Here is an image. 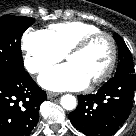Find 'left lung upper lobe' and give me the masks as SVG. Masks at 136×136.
<instances>
[{
	"mask_svg": "<svg viewBox=\"0 0 136 136\" xmlns=\"http://www.w3.org/2000/svg\"><path fill=\"white\" fill-rule=\"evenodd\" d=\"M113 36L118 45V51H119V62L115 76L135 73L132 55L127 45L117 33H114Z\"/></svg>",
	"mask_w": 136,
	"mask_h": 136,
	"instance_id": "obj_1",
	"label": "left lung upper lobe"
}]
</instances>
